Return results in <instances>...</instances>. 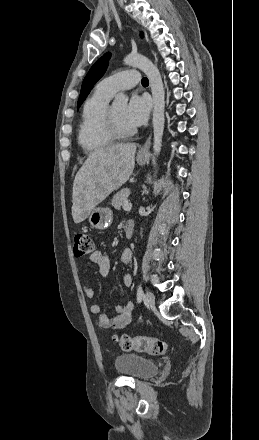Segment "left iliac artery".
<instances>
[{
	"label": "left iliac artery",
	"mask_w": 259,
	"mask_h": 440,
	"mask_svg": "<svg viewBox=\"0 0 259 440\" xmlns=\"http://www.w3.org/2000/svg\"><path fill=\"white\" fill-rule=\"evenodd\" d=\"M143 296H144V293H143L142 287H141V285H139L138 289H137V302L138 303L141 302Z\"/></svg>",
	"instance_id": "left-iliac-artery-1"
}]
</instances>
